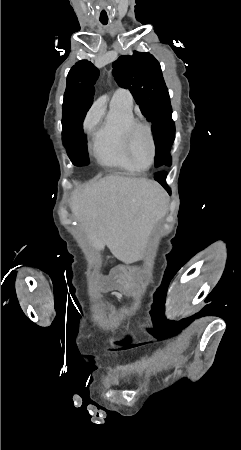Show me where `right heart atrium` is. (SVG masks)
I'll list each match as a JSON object with an SVG mask.
<instances>
[{
  "instance_id": "right-heart-atrium-1",
  "label": "right heart atrium",
  "mask_w": 241,
  "mask_h": 450,
  "mask_svg": "<svg viewBox=\"0 0 241 450\" xmlns=\"http://www.w3.org/2000/svg\"><path fill=\"white\" fill-rule=\"evenodd\" d=\"M99 123L100 118L98 116H89L87 118V122L85 123V128L87 130H94L96 128V125H98Z\"/></svg>"
}]
</instances>
